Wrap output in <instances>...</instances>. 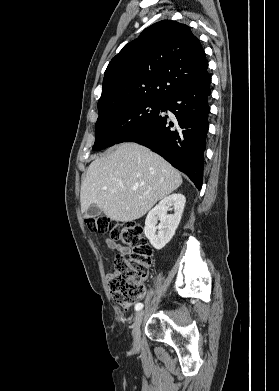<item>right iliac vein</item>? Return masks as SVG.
I'll list each match as a JSON object with an SVG mask.
<instances>
[{
  "label": "right iliac vein",
  "instance_id": "63e3f726",
  "mask_svg": "<svg viewBox=\"0 0 279 391\" xmlns=\"http://www.w3.org/2000/svg\"><path fill=\"white\" fill-rule=\"evenodd\" d=\"M144 318V311L137 312L134 323H133V329H132V337L135 344H138L140 341V335H141V324L143 322Z\"/></svg>",
  "mask_w": 279,
  "mask_h": 391
}]
</instances>
